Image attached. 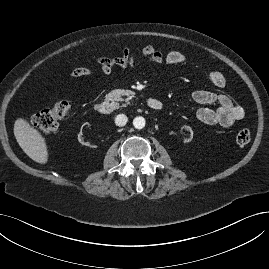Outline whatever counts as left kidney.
Returning a JSON list of instances; mask_svg holds the SVG:
<instances>
[{
    "label": "left kidney",
    "instance_id": "5707ae66",
    "mask_svg": "<svg viewBox=\"0 0 269 269\" xmlns=\"http://www.w3.org/2000/svg\"><path fill=\"white\" fill-rule=\"evenodd\" d=\"M181 133L185 136L184 137V142L188 143L192 140L193 138V131L190 126L184 125L181 128Z\"/></svg>",
    "mask_w": 269,
    "mask_h": 269
}]
</instances>
